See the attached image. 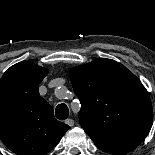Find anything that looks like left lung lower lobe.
<instances>
[{"mask_svg":"<svg viewBox=\"0 0 155 155\" xmlns=\"http://www.w3.org/2000/svg\"><path fill=\"white\" fill-rule=\"evenodd\" d=\"M142 140L143 139L141 138H131L118 142L102 143V144L96 143V146L100 150L107 153L126 154L134 150L142 142Z\"/></svg>","mask_w":155,"mask_h":155,"instance_id":"obj_1","label":"left lung lower lobe"}]
</instances>
